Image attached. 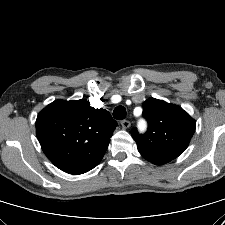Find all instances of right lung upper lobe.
Here are the masks:
<instances>
[{
    "label": "right lung upper lobe",
    "mask_w": 225,
    "mask_h": 225,
    "mask_svg": "<svg viewBox=\"0 0 225 225\" xmlns=\"http://www.w3.org/2000/svg\"><path fill=\"white\" fill-rule=\"evenodd\" d=\"M117 122L85 99L56 100L37 116L36 133L42 150L60 170L83 174L99 164Z\"/></svg>",
    "instance_id": "cb5924a9"
}]
</instances>
